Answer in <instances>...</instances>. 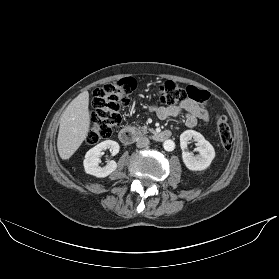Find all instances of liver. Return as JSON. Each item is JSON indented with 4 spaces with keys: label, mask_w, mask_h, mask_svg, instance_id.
I'll list each match as a JSON object with an SVG mask.
<instances>
[{
    "label": "liver",
    "mask_w": 279,
    "mask_h": 279,
    "mask_svg": "<svg viewBox=\"0 0 279 279\" xmlns=\"http://www.w3.org/2000/svg\"><path fill=\"white\" fill-rule=\"evenodd\" d=\"M57 149L63 160L69 159L86 139L90 128L89 93H80L60 118Z\"/></svg>",
    "instance_id": "6515ba94"
}]
</instances>
